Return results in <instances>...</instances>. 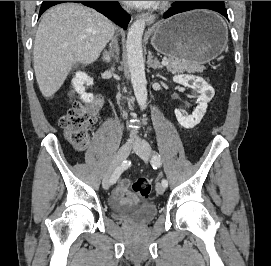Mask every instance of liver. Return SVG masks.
<instances>
[{
  "mask_svg": "<svg viewBox=\"0 0 271 266\" xmlns=\"http://www.w3.org/2000/svg\"><path fill=\"white\" fill-rule=\"evenodd\" d=\"M114 31L108 18L81 4L66 3L49 9L39 24L33 50L42 95L52 97L75 64L95 62Z\"/></svg>",
  "mask_w": 271,
  "mask_h": 266,
  "instance_id": "6515ba94",
  "label": "liver"
}]
</instances>
